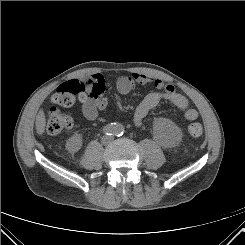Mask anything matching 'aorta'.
I'll return each mask as SVG.
<instances>
[{
    "label": "aorta",
    "instance_id": "762f6f07",
    "mask_svg": "<svg viewBox=\"0 0 245 245\" xmlns=\"http://www.w3.org/2000/svg\"><path fill=\"white\" fill-rule=\"evenodd\" d=\"M123 131V126L121 124L113 125V132L119 134Z\"/></svg>",
    "mask_w": 245,
    "mask_h": 245
}]
</instances>
